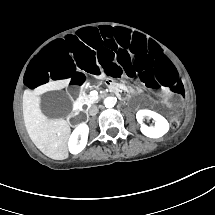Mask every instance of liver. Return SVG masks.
Returning a JSON list of instances; mask_svg holds the SVG:
<instances>
[{
  "mask_svg": "<svg viewBox=\"0 0 215 215\" xmlns=\"http://www.w3.org/2000/svg\"><path fill=\"white\" fill-rule=\"evenodd\" d=\"M69 80L50 82L42 92L58 90L68 85ZM31 91L23 94V120L26 131L36 147L50 158L61 160L68 157L70 127L64 119H48L39 108V103L31 98Z\"/></svg>",
  "mask_w": 215,
  "mask_h": 215,
  "instance_id": "obj_1",
  "label": "liver"
}]
</instances>
